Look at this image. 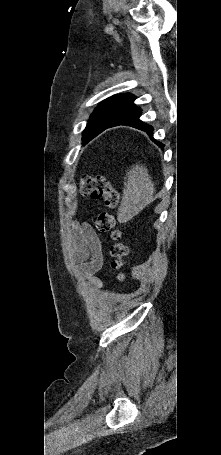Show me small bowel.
I'll use <instances>...</instances> for the list:
<instances>
[{
	"mask_svg": "<svg viewBox=\"0 0 221 455\" xmlns=\"http://www.w3.org/2000/svg\"><path fill=\"white\" fill-rule=\"evenodd\" d=\"M68 242L74 262L81 266V274L97 289L103 288L102 280L96 273L103 265L101 246L87 224L73 227Z\"/></svg>",
	"mask_w": 221,
	"mask_h": 455,
	"instance_id": "c3829d8e",
	"label": "small bowel"
}]
</instances>
